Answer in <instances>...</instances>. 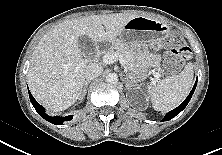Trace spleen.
<instances>
[{
    "label": "spleen",
    "mask_w": 222,
    "mask_h": 155,
    "mask_svg": "<svg viewBox=\"0 0 222 155\" xmlns=\"http://www.w3.org/2000/svg\"><path fill=\"white\" fill-rule=\"evenodd\" d=\"M193 75V66L188 63L178 75L149 86L148 92L153 108L156 111H168L180 105L190 92Z\"/></svg>",
    "instance_id": "1"
}]
</instances>
